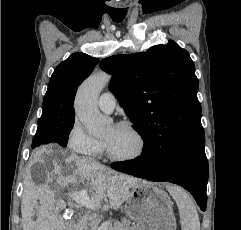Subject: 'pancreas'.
Masks as SVG:
<instances>
[{
  "label": "pancreas",
  "instance_id": "pancreas-1",
  "mask_svg": "<svg viewBox=\"0 0 241 230\" xmlns=\"http://www.w3.org/2000/svg\"><path fill=\"white\" fill-rule=\"evenodd\" d=\"M91 220L89 215L83 216L72 230H89V226L93 225ZM107 230H133V223L128 219H122L121 222H115L113 226L108 225Z\"/></svg>",
  "mask_w": 241,
  "mask_h": 230
}]
</instances>
